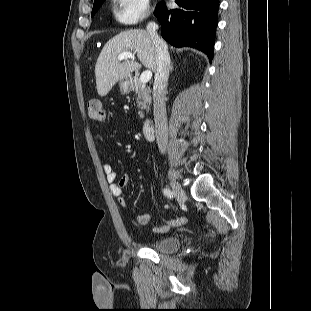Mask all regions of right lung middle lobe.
<instances>
[{
    "label": "right lung middle lobe",
    "mask_w": 311,
    "mask_h": 311,
    "mask_svg": "<svg viewBox=\"0 0 311 311\" xmlns=\"http://www.w3.org/2000/svg\"><path fill=\"white\" fill-rule=\"evenodd\" d=\"M104 1H105V0H97V1H94V5H93V9H92L91 16H94V14L97 12V10L99 9V7L102 5V3H103Z\"/></svg>",
    "instance_id": "dd1d6c3e"
}]
</instances>
